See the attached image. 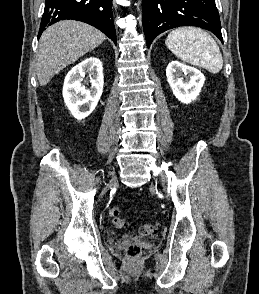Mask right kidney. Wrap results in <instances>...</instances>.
<instances>
[{
	"label": "right kidney",
	"mask_w": 259,
	"mask_h": 294,
	"mask_svg": "<svg viewBox=\"0 0 259 294\" xmlns=\"http://www.w3.org/2000/svg\"><path fill=\"white\" fill-rule=\"evenodd\" d=\"M86 74L90 77L89 89L82 83ZM103 85L102 62L96 57L86 58L68 72L63 86V98L76 119L82 120L93 112L102 95Z\"/></svg>",
	"instance_id": "1"
}]
</instances>
